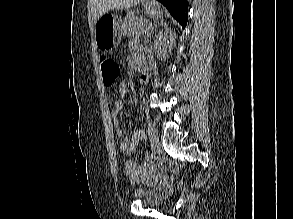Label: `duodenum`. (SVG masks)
Wrapping results in <instances>:
<instances>
[{
	"label": "duodenum",
	"mask_w": 293,
	"mask_h": 219,
	"mask_svg": "<svg viewBox=\"0 0 293 219\" xmlns=\"http://www.w3.org/2000/svg\"><path fill=\"white\" fill-rule=\"evenodd\" d=\"M136 67L139 72H141L144 75L146 74L147 69H146V66L143 62H137ZM144 78H145V76H144Z\"/></svg>",
	"instance_id": "duodenum-1"
}]
</instances>
